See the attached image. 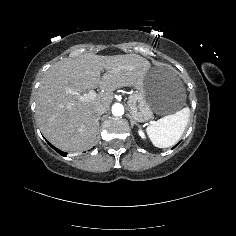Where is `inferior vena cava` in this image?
Returning a JSON list of instances; mask_svg holds the SVG:
<instances>
[{
  "instance_id": "obj_1",
  "label": "inferior vena cava",
  "mask_w": 236,
  "mask_h": 236,
  "mask_svg": "<svg viewBox=\"0 0 236 236\" xmlns=\"http://www.w3.org/2000/svg\"><path fill=\"white\" fill-rule=\"evenodd\" d=\"M105 112V110L101 106H97L94 108L95 117L98 120L100 116Z\"/></svg>"
}]
</instances>
